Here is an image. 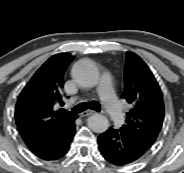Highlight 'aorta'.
Instances as JSON below:
<instances>
[{
	"mask_svg": "<svg viewBox=\"0 0 184 173\" xmlns=\"http://www.w3.org/2000/svg\"><path fill=\"white\" fill-rule=\"evenodd\" d=\"M77 81L84 87H94L99 81V72L95 64L89 60L79 62L74 68ZM88 126L95 133H104L110 123L107 117L94 114L88 118Z\"/></svg>",
	"mask_w": 184,
	"mask_h": 173,
	"instance_id": "1",
	"label": "aorta"
}]
</instances>
